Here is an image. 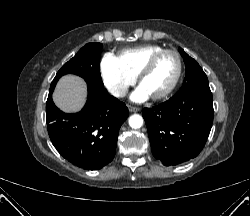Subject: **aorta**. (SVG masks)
<instances>
[{"instance_id":"1","label":"aorta","mask_w":250,"mask_h":216,"mask_svg":"<svg viewBox=\"0 0 250 216\" xmlns=\"http://www.w3.org/2000/svg\"><path fill=\"white\" fill-rule=\"evenodd\" d=\"M143 125V118L138 115V114H134L132 116H130L129 118V126L133 129H139L141 128Z\"/></svg>"}]
</instances>
